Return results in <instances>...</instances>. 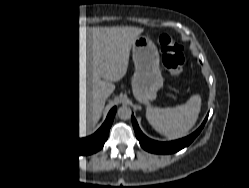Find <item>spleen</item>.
I'll list each match as a JSON object with an SVG mask.
<instances>
[{"mask_svg": "<svg viewBox=\"0 0 249 188\" xmlns=\"http://www.w3.org/2000/svg\"><path fill=\"white\" fill-rule=\"evenodd\" d=\"M201 109V98L193 95L182 105L172 108L148 106L146 117L152 127L162 135L177 139L188 134L195 125Z\"/></svg>", "mask_w": 249, "mask_h": 188, "instance_id": "3e777b00", "label": "spleen"}]
</instances>
